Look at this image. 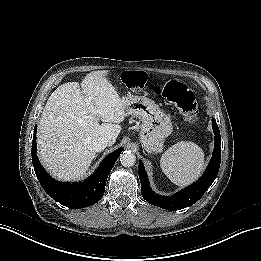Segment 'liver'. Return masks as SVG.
Instances as JSON below:
<instances>
[{
	"mask_svg": "<svg viewBox=\"0 0 261 261\" xmlns=\"http://www.w3.org/2000/svg\"><path fill=\"white\" fill-rule=\"evenodd\" d=\"M107 74L90 72L81 84L59 86L47 100L38 126V156L58 179L83 177L96 157L94 140L105 136L112 146L121 131L125 104Z\"/></svg>",
	"mask_w": 261,
	"mask_h": 261,
	"instance_id": "liver-1",
	"label": "liver"
}]
</instances>
